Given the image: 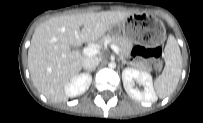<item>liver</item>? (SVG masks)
<instances>
[{
  "label": "liver",
  "mask_w": 203,
  "mask_h": 123,
  "mask_svg": "<svg viewBox=\"0 0 203 123\" xmlns=\"http://www.w3.org/2000/svg\"><path fill=\"white\" fill-rule=\"evenodd\" d=\"M131 14L103 11L61 15L41 23L28 50V68L35 88L52 103L66 102L64 88L79 74L82 61L87 58L71 47L98 41Z\"/></svg>",
  "instance_id": "1"
}]
</instances>
